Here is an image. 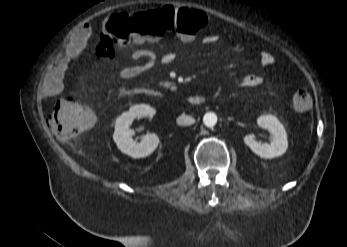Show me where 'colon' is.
I'll list each match as a JSON object with an SVG mask.
<instances>
[{
  "label": "colon",
  "mask_w": 347,
  "mask_h": 247,
  "mask_svg": "<svg viewBox=\"0 0 347 247\" xmlns=\"http://www.w3.org/2000/svg\"><path fill=\"white\" fill-rule=\"evenodd\" d=\"M207 24V16L188 8L165 7L137 13H115L103 26L97 48L100 57H112L117 47L125 46L132 39H159L173 31L184 38L194 36ZM293 107L306 111L312 105V97L305 88H298L292 96ZM94 125L92 111L73 98L60 99L49 116L50 130L63 140H70Z\"/></svg>",
  "instance_id": "colon-1"
}]
</instances>
